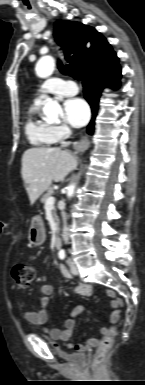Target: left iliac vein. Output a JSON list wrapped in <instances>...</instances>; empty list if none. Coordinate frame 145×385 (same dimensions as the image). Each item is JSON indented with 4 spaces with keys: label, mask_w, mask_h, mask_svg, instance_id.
<instances>
[{
    "label": "left iliac vein",
    "mask_w": 145,
    "mask_h": 385,
    "mask_svg": "<svg viewBox=\"0 0 145 385\" xmlns=\"http://www.w3.org/2000/svg\"><path fill=\"white\" fill-rule=\"evenodd\" d=\"M68 263L70 264L71 273L73 275H78L79 273L78 268L71 258H68Z\"/></svg>",
    "instance_id": "obj_1"
}]
</instances>
